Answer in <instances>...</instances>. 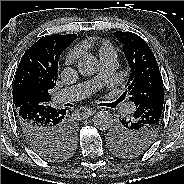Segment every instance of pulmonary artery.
I'll list each match as a JSON object with an SVG mask.
<instances>
[{
    "mask_svg": "<svg viewBox=\"0 0 184 184\" xmlns=\"http://www.w3.org/2000/svg\"><path fill=\"white\" fill-rule=\"evenodd\" d=\"M102 70L93 79L70 87L59 90L54 98L56 102H74L89 96L97 91L101 85L113 74L118 66L116 57L101 60ZM126 108L128 112H133L135 106L132 103H127Z\"/></svg>",
    "mask_w": 184,
    "mask_h": 184,
    "instance_id": "pulmonary-artery-1",
    "label": "pulmonary artery"
}]
</instances>
